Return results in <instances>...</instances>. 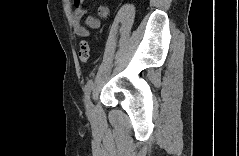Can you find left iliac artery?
I'll use <instances>...</instances> for the list:
<instances>
[{
    "instance_id": "left-iliac-artery-1",
    "label": "left iliac artery",
    "mask_w": 239,
    "mask_h": 156,
    "mask_svg": "<svg viewBox=\"0 0 239 156\" xmlns=\"http://www.w3.org/2000/svg\"><path fill=\"white\" fill-rule=\"evenodd\" d=\"M93 87V79L88 80V82L85 85V98L87 99L91 93Z\"/></svg>"
}]
</instances>
